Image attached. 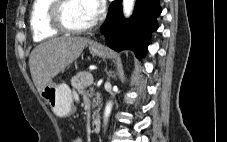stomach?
Wrapping results in <instances>:
<instances>
[{
  "mask_svg": "<svg viewBox=\"0 0 227 142\" xmlns=\"http://www.w3.org/2000/svg\"><path fill=\"white\" fill-rule=\"evenodd\" d=\"M89 50L99 57H110V52L105 47L90 43ZM40 95L59 117L70 116L75 111L71 89L65 83L56 84L50 81L44 86Z\"/></svg>",
  "mask_w": 227,
  "mask_h": 142,
  "instance_id": "0dacf381",
  "label": "stomach"
}]
</instances>
